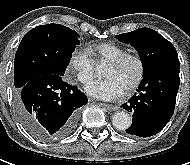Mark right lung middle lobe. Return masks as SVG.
Returning a JSON list of instances; mask_svg holds the SVG:
<instances>
[{
	"mask_svg": "<svg viewBox=\"0 0 190 165\" xmlns=\"http://www.w3.org/2000/svg\"><path fill=\"white\" fill-rule=\"evenodd\" d=\"M79 34L60 24L33 28L22 39L14 62V85L21 89L31 79L46 74L64 75Z\"/></svg>",
	"mask_w": 190,
	"mask_h": 165,
	"instance_id": "right-lung-middle-lobe-1",
	"label": "right lung middle lobe"
}]
</instances>
